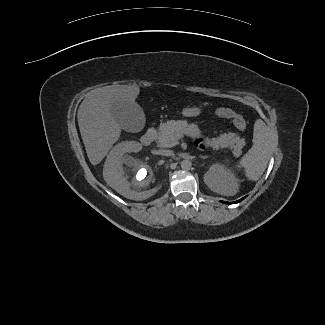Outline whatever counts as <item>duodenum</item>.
I'll list each match as a JSON object with an SVG mask.
<instances>
[{
	"instance_id": "obj_1",
	"label": "duodenum",
	"mask_w": 325,
	"mask_h": 325,
	"mask_svg": "<svg viewBox=\"0 0 325 325\" xmlns=\"http://www.w3.org/2000/svg\"><path fill=\"white\" fill-rule=\"evenodd\" d=\"M156 138L155 130H149L141 136V143L143 145L151 144Z\"/></svg>"
}]
</instances>
